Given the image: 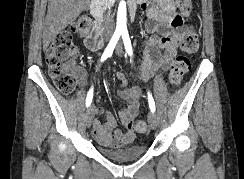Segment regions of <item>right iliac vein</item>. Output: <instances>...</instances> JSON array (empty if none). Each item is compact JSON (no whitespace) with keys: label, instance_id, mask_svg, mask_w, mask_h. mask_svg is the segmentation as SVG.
<instances>
[{"label":"right iliac vein","instance_id":"obj_1","mask_svg":"<svg viewBox=\"0 0 244 179\" xmlns=\"http://www.w3.org/2000/svg\"><path fill=\"white\" fill-rule=\"evenodd\" d=\"M94 108H95V106L93 104L88 106L85 116H84V121L88 127L91 126V123L94 118Z\"/></svg>","mask_w":244,"mask_h":179}]
</instances>
